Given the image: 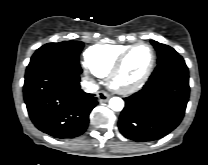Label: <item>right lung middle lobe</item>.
<instances>
[{"mask_svg":"<svg viewBox=\"0 0 208 165\" xmlns=\"http://www.w3.org/2000/svg\"><path fill=\"white\" fill-rule=\"evenodd\" d=\"M84 44L81 41H63L59 43H48L36 50L29 64L36 63L44 58L52 56H65L79 63V54Z\"/></svg>","mask_w":208,"mask_h":165,"instance_id":"dd1d6c3e","label":"right lung middle lobe"}]
</instances>
